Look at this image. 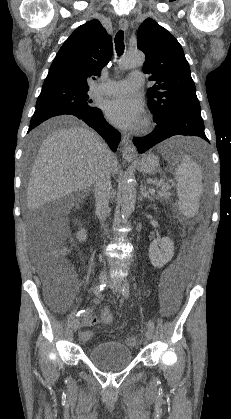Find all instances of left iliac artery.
Here are the masks:
<instances>
[{
	"instance_id": "1",
	"label": "left iliac artery",
	"mask_w": 231,
	"mask_h": 419,
	"mask_svg": "<svg viewBox=\"0 0 231 419\" xmlns=\"http://www.w3.org/2000/svg\"><path fill=\"white\" fill-rule=\"evenodd\" d=\"M129 293H130L129 283L125 282V284L122 288V294L125 298H127L129 296ZM148 328L152 331L154 330V323L152 321L148 322Z\"/></svg>"
}]
</instances>
